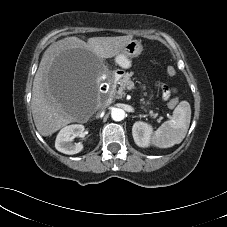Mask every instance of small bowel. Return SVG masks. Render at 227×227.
<instances>
[{
	"label": "small bowel",
	"mask_w": 227,
	"mask_h": 227,
	"mask_svg": "<svg viewBox=\"0 0 227 227\" xmlns=\"http://www.w3.org/2000/svg\"><path fill=\"white\" fill-rule=\"evenodd\" d=\"M159 88L162 91V96L164 99H168L171 95V90L165 85H159Z\"/></svg>",
	"instance_id": "small-bowel-1"
}]
</instances>
